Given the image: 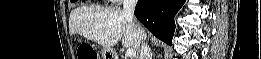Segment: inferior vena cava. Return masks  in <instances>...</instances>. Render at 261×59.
<instances>
[{
  "mask_svg": "<svg viewBox=\"0 0 261 59\" xmlns=\"http://www.w3.org/2000/svg\"><path fill=\"white\" fill-rule=\"evenodd\" d=\"M137 4V0H123V14L128 21H133L134 19V10ZM135 25L140 28V25L137 21H134ZM145 35H141L140 43H141V51L139 59H152L151 49L149 48Z\"/></svg>",
  "mask_w": 261,
  "mask_h": 59,
  "instance_id": "inferior-vena-cava-1",
  "label": "inferior vena cava"
}]
</instances>
